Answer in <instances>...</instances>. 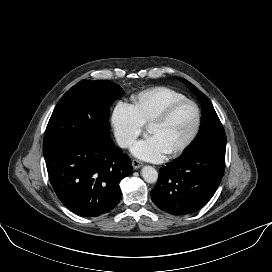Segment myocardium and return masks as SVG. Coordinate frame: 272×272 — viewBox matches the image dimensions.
Segmentation results:
<instances>
[{
  "mask_svg": "<svg viewBox=\"0 0 272 272\" xmlns=\"http://www.w3.org/2000/svg\"><path fill=\"white\" fill-rule=\"evenodd\" d=\"M185 105H190L193 107L195 111V124L193 127V130L187 140L177 147L176 149L168 152L169 157H175L177 155H180L184 151H186L191 144L194 142L196 137L199 134L200 128H201V123H202V115H201V110L198 104L190 99H184V100H179L176 102L171 103L168 105L164 110H162L158 115H156L149 123L148 125H153V124H161L166 122L179 108L185 106Z\"/></svg>",
  "mask_w": 272,
  "mask_h": 272,
  "instance_id": "1",
  "label": "myocardium"
}]
</instances>
